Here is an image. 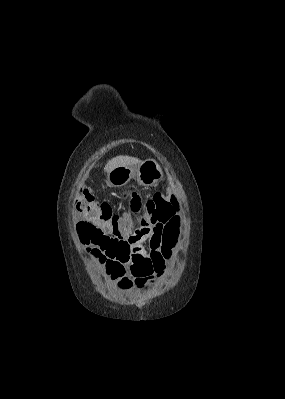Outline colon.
<instances>
[{
    "instance_id": "5ec220e1",
    "label": "colon",
    "mask_w": 285,
    "mask_h": 399,
    "mask_svg": "<svg viewBox=\"0 0 285 399\" xmlns=\"http://www.w3.org/2000/svg\"><path fill=\"white\" fill-rule=\"evenodd\" d=\"M127 213L122 218L114 213L110 203L96 202L88 188L80 190L76 196V207L85 218L77 224L81 242L93 245L92 253L108 262L111 276L118 277L123 272V264H128L137 285L147 282L153 276H160L165 271L164 255L155 251L150 258H144L124 238L118 235V228L127 221L134 229H139L147 222V216L154 214L153 222L157 229L164 230L165 244L176 239L171 226L176 219L179 204L176 199L163 194L142 199L133 192L125 197ZM123 287L129 288L133 282L125 279Z\"/></svg>"
}]
</instances>
